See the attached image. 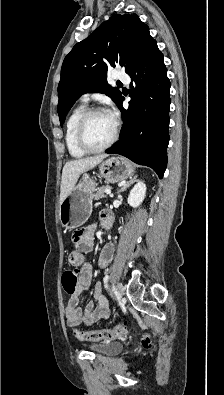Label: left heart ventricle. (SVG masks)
<instances>
[{
	"instance_id": "1",
	"label": "left heart ventricle",
	"mask_w": 224,
	"mask_h": 395,
	"mask_svg": "<svg viewBox=\"0 0 224 395\" xmlns=\"http://www.w3.org/2000/svg\"><path fill=\"white\" fill-rule=\"evenodd\" d=\"M114 120L107 113L93 115L86 126V139L93 147L104 145L112 136Z\"/></svg>"
}]
</instances>
